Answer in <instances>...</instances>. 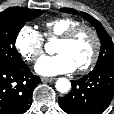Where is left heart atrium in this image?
Returning <instances> with one entry per match:
<instances>
[{"instance_id": "39dd6f15", "label": "left heart atrium", "mask_w": 114, "mask_h": 114, "mask_svg": "<svg viewBox=\"0 0 114 114\" xmlns=\"http://www.w3.org/2000/svg\"><path fill=\"white\" fill-rule=\"evenodd\" d=\"M73 60L64 53L42 57L35 65V70L42 76H55L76 70Z\"/></svg>"}]
</instances>
